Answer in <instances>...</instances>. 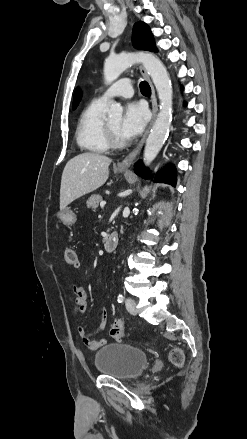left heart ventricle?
<instances>
[{
  "label": "left heart ventricle",
  "mask_w": 247,
  "mask_h": 439,
  "mask_svg": "<svg viewBox=\"0 0 247 439\" xmlns=\"http://www.w3.org/2000/svg\"><path fill=\"white\" fill-rule=\"evenodd\" d=\"M121 119L119 117L116 118H112L108 120V123L110 124L111 128L113 129V131L115 132L116 136L119 139L124 140L120 134H119V124H120Z\"/></svg>",
  "instance_id": "b2bd125f"
}]
</instances>
